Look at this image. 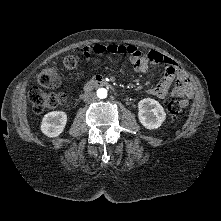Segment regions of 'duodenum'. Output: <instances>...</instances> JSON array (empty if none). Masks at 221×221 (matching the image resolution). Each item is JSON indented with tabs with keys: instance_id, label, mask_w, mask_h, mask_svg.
Here are the masks:
<instances>
[{
	"instance_id": "410a0bca",
	"label": "duodenum",
	"mask_w": 221,
	"mask_h": 221,
	"mask_svg": "<svg viewBox=\"0 0 221 221\" xmlns=\"http://www.w3.org/2000/svg\"><path fill=\"white\" fill-rule=\"evenodd\" d=\"M97 87H112L111 83L101 76H95L90 79L84 86L85 91H90Z\"/></svg>"
}]
</instances>
